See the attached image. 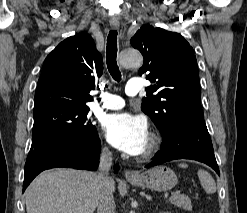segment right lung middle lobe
I'll use <instances>...</instances> for the list:
<instances>
[{
	"label": "right lung middle lobe",
	"instance_id": "right-lung-middle-lobe-1",
	"mask_svg": "<svg viewBox=\"0 0 247 213\" xmlns=\"http://www.w3.org/2000/svg\"><path fill=\"white\" fill-rule=\"evenodd\" d=\"M88 106L52 104L34 111L32 143L57 134L75 132L85 141H94L98 134L88 116Z\"/></svg>",
	"mask_w": 247,
	"mask_h": 213
}]
</instances>
